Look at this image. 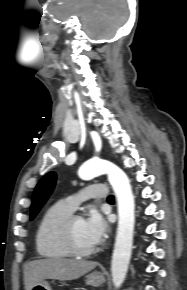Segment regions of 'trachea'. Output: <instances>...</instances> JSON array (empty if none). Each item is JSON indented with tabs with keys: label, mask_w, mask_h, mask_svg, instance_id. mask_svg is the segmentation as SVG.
<instances>
[{
	"label": "trachea",
	"mask_w": 187,
	"mask_h": 290,
	"mask_svg": "<svg viewBox=\"0 0 187 290\" xmlns=\"http://www.w3.org/2000/svg\"><path fill=\"white\" fill-rule=\"evenodd\" d=\"M108 201H113L114 200V196L113 195H109L107 198Z\"/></svg>",
	"instance_id": "trachea-1"
}]
</instances>
